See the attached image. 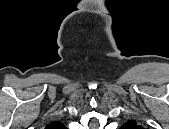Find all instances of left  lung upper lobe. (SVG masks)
Here are the masks:
<instances>
[{"label":"left lung upper lobe","instance_id":"obj_1","mask_svg":"<svg viewBox=\"0 0 169 129\" xmlns=\"http://www.w3.org/2000/svg\"><path fill=\"white\" fill-rule=\"evenodd\" d=\"M121 129H142V127L138 125L134 120H129L122 125Z\"/></svg>","mask_w":169,"mask_h":129}]
</instances>
